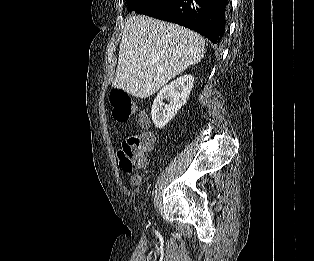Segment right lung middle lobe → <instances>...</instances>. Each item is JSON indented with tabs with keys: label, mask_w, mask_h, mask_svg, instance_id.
Wrapping results in <instances>:
<instances>
[{
	"label": "right lung middle lobe",
	"mask_w": 314,
	"mask_h": 261,
	"mask_svg": "<svg viewBox=\"0 0 314 261\" xmlns=\"http://www.w3.org/2000/svg\"><path fill=\"white\" fill-rule=\"evenodd\" d=\"M164 1L165 0H126V3L130 11H135L137 14H145Z\"/></svg>",
	"instance_id": "1"
}]
</instances>
